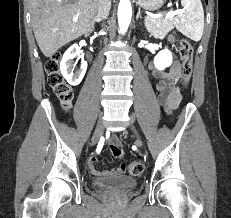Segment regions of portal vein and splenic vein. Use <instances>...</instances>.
Listing matches in <instances>:
<instances>
[{"label":"portal vein and splenic vein","mask_w":231,"mask_h":218,"mask_svg":"<svg viewBox=\"0 0 231 218\" xmlns=\"http://www.w3.org/2000/svg\"><path fill=\"white\" fill-rule=\"evenodd\" d=\"M182 11L181 10H175V11H169L167 14H166V18H171L173 16H175L176 14H181ZM151 17H158V16H151ZM77 18H73V22H77Z\"/></svg>","instance_id":"portal-vein-and-splenic-vein-1"}]
</instances>
